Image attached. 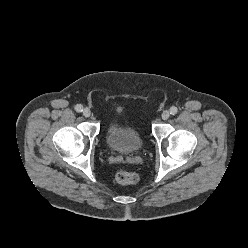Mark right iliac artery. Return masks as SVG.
Listing matches in <instances>:
<instances>
[{
	"mask_svg": "<svg viewBox=\"0 0 248 248\" xmlns=\"http://www.w3.org/2000/svg\"><path fill=\"white\" fill-rule=\"evenodd\" d=\"M75 110H76L77 112H82V111H83V106H82L81 104H77V105L75 106Z\"/></svg>",
	"mask_w": 248,
	"mask_h": 248,
	"instance_id": "82829eb1",
	"label": "right iliac artery"
}]
</instances>
